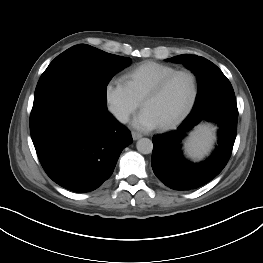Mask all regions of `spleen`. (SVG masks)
<instances>
[{"mask_svg":"<svg viewBox=\"0 0 263 263\" xmlns=\"http://www.w3.org/2000/svg\"><path fill=\"white\" fill-rule=\"evenodd\" d=\"M214 128L207 125L199 126L191 135L188 148L191 154L201 155L211 146L214 139Z\"/></svg>","mask_w":263,"mask_h":263,"instance_id":"3e777b00","label":"spleen"}]
</instances>
